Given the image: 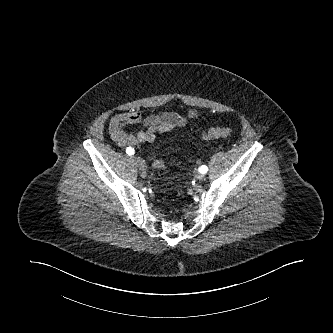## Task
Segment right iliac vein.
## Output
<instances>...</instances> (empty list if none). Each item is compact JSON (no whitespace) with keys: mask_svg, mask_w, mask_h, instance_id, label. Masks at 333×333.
<instances>
[{"mask_svg":"<svg viewBox=\"0 0 333 333\" xmlns=\"http://www.w3.org/2000/svg\"><path fill=\"white\" fill-rule=\"evenodd\" d=\"M133 158H134V160L136 162V165L138 166V168L140 170H145L146 169V167H147L146 163H145V161L142 158L136 157V156H134Z\"/></svg>","mask_w":333,"mask_h":333,"instance_id":"right-iliac-vein-1","label":"right iliac vein"}]
</instances>
